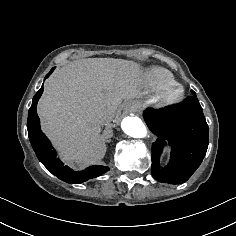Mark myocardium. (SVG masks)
<instances>
[{
	"label": "myocardium",
	"instance_id": "f54148a6",
	"mask_svg": "<svg viewBox=\"0 0 236 236\" xmlns=\"http://www.w3.org/2000/svg\"><path fill=\"white\" fill-rule=\"evenodd\" d=\"M182 94L181 88L176 86L170 87L161 94V102L166 106L173 105L181 99Z\"/></svg>",
	"mask_w": 236,
	"mask_h": 236
}]
</instances>
